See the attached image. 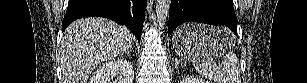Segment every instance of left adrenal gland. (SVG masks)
Masks as SVG:
<instances>
[{"instance_id":"left-adrenal-gland-1","label":"left adrenal gland","mask_w":307,"mask_h":83,"mask_svg":"<svg viewBox=\"0 0 307 83\" xmlns=\"http://www.w3.org/2000/svg\"><path fill=\"white\" fill-rule=\"evenodd\" d=\"M181 65L182 67H185L186 64H183L182 62H180L176 57H175V68H178V66Z\"/></svg>"}]
</instances>
